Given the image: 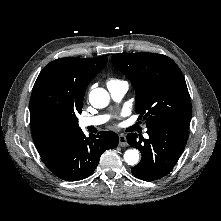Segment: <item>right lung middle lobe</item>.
<instances>
[{
	"label": "right lung middle lobe",
	"mask_w": 221,
	"mask_h": 221,
	"mask_svg": "<svg viewBox=\"0 0 221 221\" xmlns=\"http://www.w3.org/2000/svg\"><path fill=\"white\" fill-rule=\"evenodd\" d=\"M85 90L74 80L67 63L57 59L39 74L30 98V113L77 126Z\"/></svg>",
	"instance_id": "1"
}]
</instances>
